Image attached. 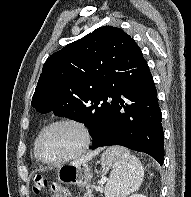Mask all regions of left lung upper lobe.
<instances>
[{"mask_svg": "<svg viewBox=\"0 0 191 197\" xmlns=\"http://www.w3.org/2000/svg\"><path fill=\"white\" fill-rule=\"evenodd\" d=\"M143 68L147 62L129 35L117 27H100L47 59L31 105L88 127V119L119 86L121 76Z\"/></svg>", "mask_w": 191, "mask_h": 197, "instance_id": "obj_1", "label": "left lung upper lobe"}]
</instances>
